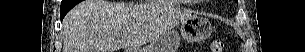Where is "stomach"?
Here are the masks:
<instances>
[{
  "mask_svg": "<svg viewBox=\"0 0 305 52\" xmlns=\"http://www.w3.org/2000/svg\"><path fill=\"white\" fill-rule=\"evenodd\" d=\"M211 33L212 26L206 18L191 16L181 22L179 33L176 30H169L152 41L145 49L126 52H176L181 39L187 42H201Z\"/></svg>",
  "mask_w": 305,
  "mask_h": 52,
  "instance_id": "0dacf381",
  "label": "stomach"
}]
</instances>
